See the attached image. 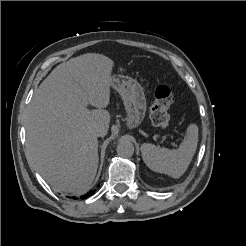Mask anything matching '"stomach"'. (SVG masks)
<instances>
[{
  "label": "stomach",
  "instance_id": "0dacf381",
  "mask_svg": "<svg viewBox=\"0 0 246 246\" xmlns=\"http://www.w3.org/2000/svg\"><path fill=\"white\" fill-rule=\"evenodd\" d=\"M111 85L123 100L127 112L128 126L134 128L140 125L147 108L142 86L135 79L123 75L113 76Z\"/></svg>",
  "mask_w": 246,
  "mask_h": 246
}]
</instances>
